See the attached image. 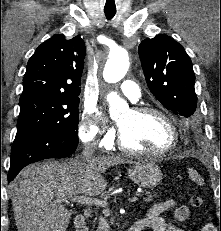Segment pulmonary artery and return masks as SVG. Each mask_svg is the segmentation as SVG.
<instances>
[{
    "mask_svg": "<svg viewBox=\"0 0 221 231\" xmlns=\"http://www.w3.org/2000/svg\"><path fill=\"white\" fill-rule=\"evenodd\" d=\"M122 93L132 101H138L141 98V92L138 85L130 80H125L120 85Z\"/></svg>",
    "mask_w": 221,
    "mask_h": 231,
    "instance_id": "obj_1",
    "label": "pulmonary artery"
}]
</instances>
